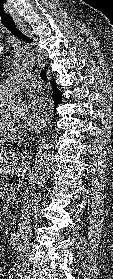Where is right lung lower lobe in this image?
I'll use <instances>...</instances> for the list:
<instances>
[{
    "label": "right lung lower lobe",
    "instance_id": "1",
    "mask_svg": "<svg viewBox=\"0 0 113 279\" xmlns=\"http://www.w3.org/2000/svg\"><path fill=\"white\" fill-rule=\"evenodd\" d=\"M52 90H53V96H54V109L57 107V105L60 103L61 101V93L59 92V90L56 88V83L55 81L52 82Z\"/></svg>",
    "mask_w": 113,
    "mask_h": 279
}]
</instances>
